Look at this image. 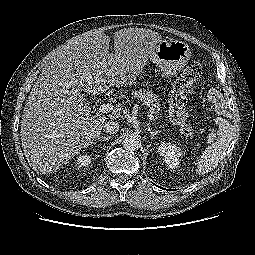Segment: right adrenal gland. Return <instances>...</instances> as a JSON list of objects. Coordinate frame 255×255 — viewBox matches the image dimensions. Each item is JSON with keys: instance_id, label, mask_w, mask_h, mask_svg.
Masks as SVG:
<instances>
[{"instance_id": "2a0ac1e0", "label": "right adrenal gland", "mask_w": 255, "mask_h": 255, "mask_svg": "<svg viewBox=\"0 0 255 255\" xmlns=\"http://www.w3.org/2000/svg\"><path fill=\"white\" fill-rule=\"evenodd\" d=\"M111 138V136H98L97 139H103L104 141H108Z\"/></svg>"}]
</instances>
